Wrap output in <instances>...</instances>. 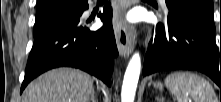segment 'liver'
<instances>
[{"instance_id":"liver-1","label":"liver","mask_w":221,"mask_h":102,"mask_svg":"<svg viewBox=\"0 0 221 102\" xmlns=\"http://www.w3.org/2000/svg\"><path fill=\"white\" fill-rule=\"evenodd\" d=\"M93 79L72 68L50 70L31 82L23 93L22 102H88Z\"/></svg>"}]
</instances>
